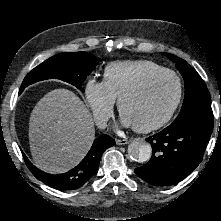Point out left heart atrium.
I'll use <instances>...</instances> for the list:
<instances>
[{
  "label": "left heart atrium",
  "instance_id": "1",
  "mask_svg": "<svg viewBox=\"0 0 221 221\" xmlns=\"http://www.w3.org/2000/svg\"><path fill=\"white\" fill-rule=\"evenodd\" d=\"M121 122L124 126H132V123L123 115L121 116Z\"/></svg>",
  "mask_w": 221,
  "mask_h": 221
}]
</instances>
